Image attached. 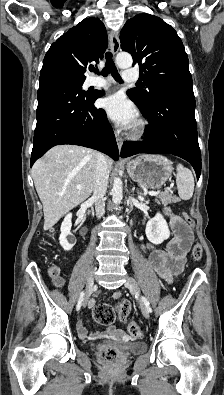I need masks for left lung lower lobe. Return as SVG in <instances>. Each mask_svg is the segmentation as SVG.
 <instances>
[{
  "mask_svg": "<svg viewBox=\"0 0 224 395\" xmlns=\"http://www.w3.org/2000/svg\"><path fill=\"white\" fill-rule=\"evenodd\" d=\"M131 100L149 121L144 141L125 142L121 157L138 153L173 154L187 160L201 174V153L198 144L195 120L194 95H176L164 98L151 107L140 106L129 94Z\"/></svg>",
  "mask_w": 224,
  "mask_h": 395,
  "instance_id": "obj_1",
  "label": "left lung lower lobe"
}]
</instances>
